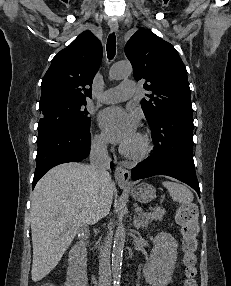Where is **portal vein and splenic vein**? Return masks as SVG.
<instances>
[{
	"label": "portal vein and splenic vein",
	"mask_w": 231,
	"mask_h": 286,
	"mask_svg": "<svg viewBox=\"0 0 231 286\" xmlns=\"http://www.w3.org/2000/svg\"><path fill=\"white\" fill-rule=\"evenodd\" d=\"M135 211H136V212H141V211H143V209H142L141 207H137V208L135 209Z\"/></svg>",
	"instance_id": "1"
}]
</instances>
